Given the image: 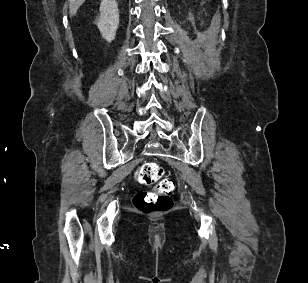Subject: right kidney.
I'll list each match as a JSON object with an SVG mask.
<instances>
[{
	"mask_svg": "<svg viewBox=\"0 0 308 283\" xmlns=\"http://www.w3.org/2000/svg\"><path fill=\"white\" fill-rule=\"evenodd\" d=\"M98 29L102 37L111 42L114 40L119 25V11L116 0H102L100 4Z\"/></svg>",
	"mask_w": 308,
	"mask_h": 283,
	"instance_id": "1",
	"label": "right kidney"
}]
</instances>
